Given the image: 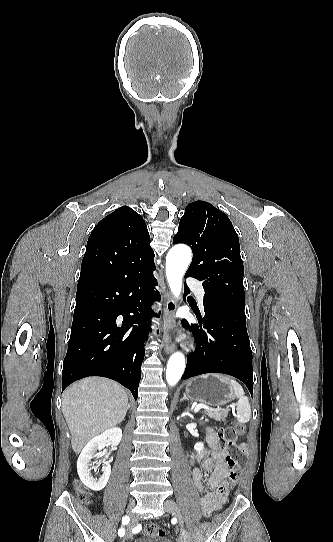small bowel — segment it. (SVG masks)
<instances>
[{
	"instance_id": "c3829d8e",
	"label": "small bowel",
	"mask_w": 333,
	"mask_h": 542,
	"mask_svg": "<svg viewBox=\"0 0 333 542\" xmlns=\"http://www.w3.org/2000/svg\"><path fill=\"white\" fill-rule=\"evenodd\" d=\"M206 441L208 449L198 452L192 460V463L194 461H201L202 463L201 468H192V478L196 489L203 492V472L209 474L208 490L200 500V508L205 517H210L213 512L222 508L227 498V493L223 492L221 488L229 475V466L226 459L230 454L226 449L221 448L218 436L212 429H207ZM235 449L244 455L248 453V448L244 443H237ZM137 531L135 527H129L127 536L131 537Z\"/></svg>"
}]
</instances>
